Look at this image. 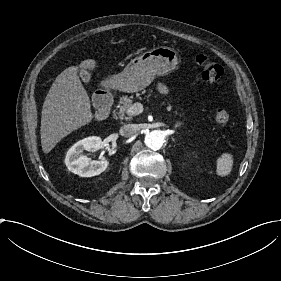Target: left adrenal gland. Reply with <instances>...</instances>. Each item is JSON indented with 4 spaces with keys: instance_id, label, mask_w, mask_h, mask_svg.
<instances>
[{
    "instance_id": "1",
    "label": "left adrenal gland",
    "mask_w": 281,
    "mask_h": 281,
    "mask_svg": "<svg viewBox=\"0 0 281 281\" xmlns=\"http://www.w3.org/2000/svg\"><path fill=\"white\" fill-rule=\"evenodd\" d=\"M180 125H181V123H177V124H176V127H178V126H180Z\"/></svg>"
}]
</instances>
